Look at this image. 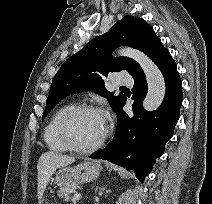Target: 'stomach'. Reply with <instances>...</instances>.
<instances>
[{
    "label": "stomach",
    "mask_w": 212,
    "mask_h": 204,
    "mask_svg": "<svg viewBox=\"0 0 212 204\" xmlns=\"http://www.w3.org/2000/svg\"><path fill=\"white\" fill-rule=\"evenodd\" d=\"M102 167L98 162L86 161L77 166H64L54 172L53 180L60 187H69L89 182L99 176Z\"/></svg>",
    "instance_id": "0dacf381"
}]
</instances>
